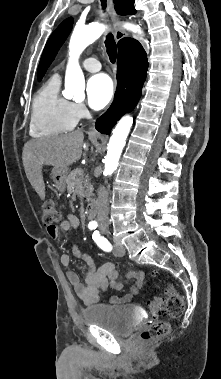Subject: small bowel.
<instances>
[{"label":"small bowel","instance_id":"c3829d8e","mask_svg":"<svg viewBox=\"0 0 221 379\" xmlns=\"http://www.w3.org/2000/svg\"><path fill=\"white\" fill-rule=\"evenodd\" d=\"M79 219L73 214H68L61 221L59 226L48 228V234L51 238L57 239L61 233L70 230L77 231L79 227ZM73 255L82 260L87 267L84 283H82L78 275L73 270L67 271V278L73 287L75 293L86 306L95 305L100 302L101 294L107 292L110 288L116 291L123 289V284L118 281L119 273L113 263H105L100 267H96L93 259L86 253H83L77 246L71 248ZM61 264L68 268L71 258L67 253L62 254ZM128 279L133 280L130 293L122 298H113V302H126L133 294L142 287L144 280V272L138 269H132L127 275Z\"/></svg>","mask_w":221,"mask_h":379}]
</instances>
